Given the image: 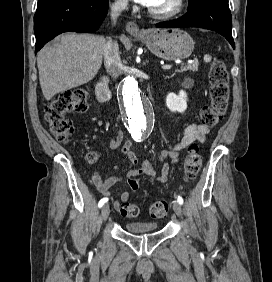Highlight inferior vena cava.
<instances>
[{"label": "inferior vena cava", "mask_w": 272, "mask_h": 282, "mask_svg": "<svg viewBox=\"0 0 272 282\" xmlns=\"http://www.w3.org/2000/svg\"><path fill=\"white\" fill-rule=\"evenodd\" d=\"M125 7V3H114L111 6L110 16L113 24L116 23L117 18L121 15ZM103 55L107 72L113 79H117L122 73V63L118 52L117 42L109 38L105 42Z\"/></svg>", "instance_id": "602c4592"}]
</instances>
